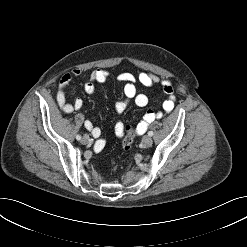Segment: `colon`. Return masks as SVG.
<instances>
[{
  "label": "colon",
  "instance_id": "colon-1",
  "mask_svg": "<svg viewBox=\"0 0 247 247\" xmlns=\"http://www.w3.org/2000/svg\"><path fill=\"white\" fill-rule=\"evenodd\" d=\"M134 137H135L134 129L131 126L125 127L124 137L122 140V147L125 151H129L131 149Z\"/></svg>",
  "mask_w": 247,
  "mask_h": 247
}]
</instances>
